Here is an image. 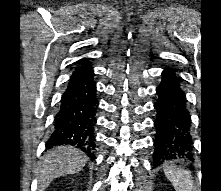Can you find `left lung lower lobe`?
<instances>
[{"label": "left lung lower lobe", "mask_w": 221, "mask_h": 191, "mask_svg": "<svg viewBox=\"0 0 221 191\" xmlns=\"http://www.w3.org/2000/svg\"><path fill=\"white\" fill-rule=\"evenodd\" d=\"M181 81L176 70L167 68L162 72V81L156 88L154 164L175 158L193 160L192 122Z\"/></svg>", "instance_id": "0a47b994"}]
</instances>
